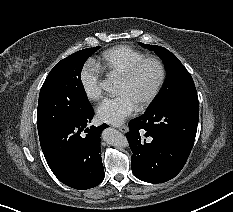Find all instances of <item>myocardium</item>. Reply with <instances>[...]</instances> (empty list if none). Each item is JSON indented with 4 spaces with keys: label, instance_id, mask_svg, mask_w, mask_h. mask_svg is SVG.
Instances as JSON below:
<instances>
[{
    "label": "myocardium",
    "instance_id": "myocardium-1",
    "mask_svg": "<svg viewBox=\"0 0 233 212\" xmlns=\"http://www.w3.org/2000/svg\"><path fill=\"white\" fill-rule=\"evenodd\" d=\"M147 62H153L158 67V79L149 93V95L138 105L140 109L146 108L149 106L159 94L165 79H166V68L163 61L156 56H145L138 61L134 62L121 76L120 78L126 82L132 81L140 68Z\"/></svg>",
    "mask_w": 233,
    "mask_h": 212
}]
</instances>
